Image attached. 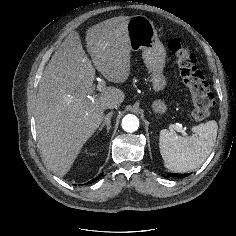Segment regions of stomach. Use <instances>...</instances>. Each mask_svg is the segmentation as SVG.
Segmentation results:
<instances>
[{
    "label": "stomach",
    "instance_id": "stomach-1",
    "mask_svg": "<svg viewBox=\"0 0 236 236\" xmlns=\"http://www.w3.org/2000/svg\"><path fill=\"white\" fill-rule=\"evenodd\" d=\"M130 47L133 51H142L144 64L150 73L152 88L159 92L167 85L163 70L166 62V51L158 38L153 22L145 16L130 17L127 23ZM168 106L164 99L156 98L152 103V111L159 117L164 115Z\"/></svg>",
    "mask_w": 236,
    "mask_h": 236
}]
</instances>
